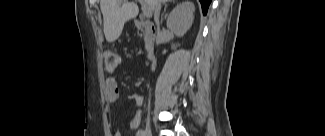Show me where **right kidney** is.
Returning a JSON list of instances; mask_svg holds the SVG:
<instances>
[{"instance_id":"1","label":"right kidney","mask_w":325,"mask_h":136,"mask_svg":"<svg viewBox=\"0 0 325 136\" xmlns=\"http://www.w3.org/2000/svg\"><path fill=\"white\" fill-rule=\"evenodd\" d=\"M194 4L190 0L178 4L167 19V27L178 37H183L190 29L194 19Z\"/></svg>"}]
</instances>
